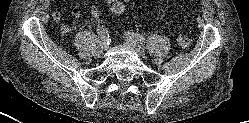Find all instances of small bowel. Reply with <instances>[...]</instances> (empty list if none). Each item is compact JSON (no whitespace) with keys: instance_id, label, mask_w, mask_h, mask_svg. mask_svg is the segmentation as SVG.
Instances as JSON below:
<instances>
[{"instance_id":"1","label":"small bowel","mask_w":249,"mask_h":123,"mask_svg":"<svg viewBox=\"0 0 249 123\" xmlns=\"http://www.w3.org/2000/svg\"><path fill=\"white\" fill-rule=\"evenodd\" d=\"M107 4L109 5H112V4H118L119 6L121 7H124L125 4L128 2V0H104ZM122 12V11H121ZM91 14L98 18V17H101L102 16V10L96 6V5H93L91 7ZM71 15L73 18L75 19H78L80 16H81V11L78 7H74L71 11ZM62 18V15L60 12L58 11H55L52 13V19L55 21V22H59ZM61 31L62 33L64 34H68L70 31H71V28L68 26V25H65V24H62L61 25Z\"/></svg>"}]
</instances>
